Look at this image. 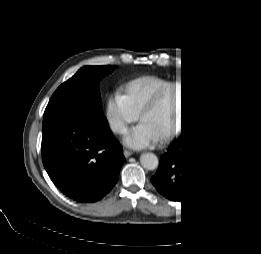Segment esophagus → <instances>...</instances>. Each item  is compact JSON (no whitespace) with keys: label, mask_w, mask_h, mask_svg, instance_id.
Listing matches in <instances>:
<instances>
[{"label":"esophagus","mask_w":261,"mask_h":254,"mask_svg":"<svg viewBox=\"0 0 261 254\" xmlns=\"http://www.w3.org/2000/svg\"><path fill=\"white\" fill-rule=\"evenodd\" d=\"M133 153L131 151H128V150H124L123 151V155L128 158L129 156H131Z\"/></svg>","instance_id":"obj_1"}]
</instances>
